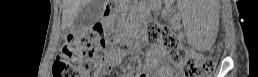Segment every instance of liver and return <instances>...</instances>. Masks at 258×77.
Listing matches in <instances>:
<instances>
[{"mask_svg":"<svg viewBox=\"0 0 258 77\" xmlns=\"http://www.w3.org/2000/svg\"><path fill=\"white\" fill-rule=\"evenodd\" d=\"M89 2L90 0H63L62 26L71 27L80 10Z\"/></svg>","mask_w":258,"mask_h":77,"instance_id":"1","label":"liver"}]
</instances>
